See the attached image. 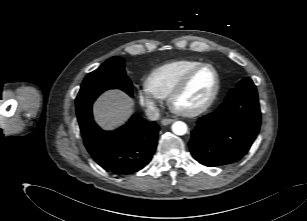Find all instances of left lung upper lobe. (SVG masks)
<instances>
[{
	"label": "left lung upper lobe",
	"mask_w": 307,
	"mask_h": 221,
	"mask_svg": "<svg viewBox=\"0 0 307 221\" xmlns=\"http://www.w3.org/2000/svg\"><path fill=\"white\" fill-rule=\"evenodd\" d=\"M257 93L256 87L252 80L250 78L242 79L237 85L235 89H232L229 92V95L231 94H242V95H248V94H255Z\"/></svg>",
	"instance_id": "1"
}]
</instances>
